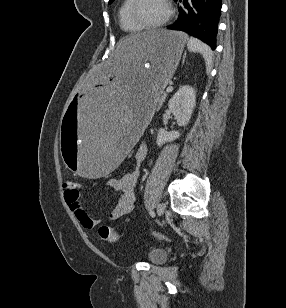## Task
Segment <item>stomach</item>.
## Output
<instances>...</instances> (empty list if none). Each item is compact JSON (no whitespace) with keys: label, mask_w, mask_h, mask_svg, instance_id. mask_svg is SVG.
<instances>
[{"label":"stomach","mask_w":286,"mask_h":308,"mask_svg":"<svg viewBox=\"0 0 286 308\" xmlns=\"http://www.w3.org/2000/svg\"><path fill=\"white\" fill-rule=\"evenodd\" d=\"M187 37L176 31L123 36L102 65L92 69L82 91L62 112L60 153L76 177H112L122 168L152 107L179 63Z\"/></svg>","instance_id":"obj_1"}]
</instances>
